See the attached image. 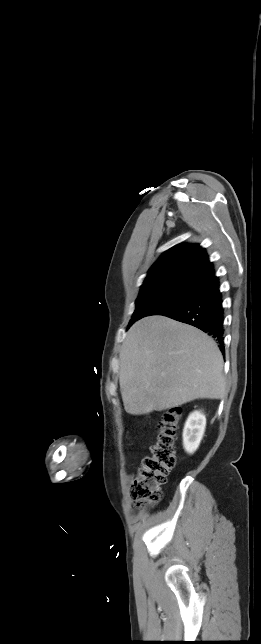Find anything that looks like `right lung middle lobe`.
I'll return each mask as SVG.
<instances>
[{
  "label": "right lung middle lobe",
  "mask_w": 261,
  "mask_h": 644,
  "mask_svg": "<svg viewBox=\"0 0 261 644\" xmlns=\"http://www.w3.org/2000/svg\"><path fill=\"white\" fill-rule=\"evenodd\" d=\"M198 285L193 281L176 278L143 284L128 328L145 316L161 315L181 304Z\"/></svg>",
  "instance_id": "1"
}]
</instances>
